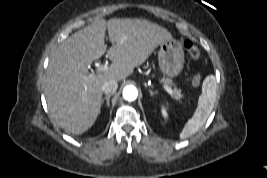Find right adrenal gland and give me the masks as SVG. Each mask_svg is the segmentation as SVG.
<instances>
[{"mask_svg": "<svg viewBox=\"0 0 267 178\" xmlns=\"http://www.w3.org/2000/svg\"><path fill=\"white\" fill-rule=\"evenodd\" d=\"M110 97H111V94L106 95L105 97H103V99L101 100V104L103 105L104 101L106 100L107 107H109L110 106Z\"/></svg>", "mask_w": 267, "mask_h": 178, "instance_id": "right-adrenal-gland-1", "label": "right adrenal gland"}]
</instances>
